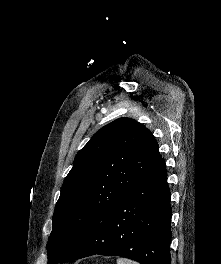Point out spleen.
<instances>
[{
  "instance_id": "1",
  "label": "spleen",
  "mask_w": 221,
  "mask_h": 264,
  "mask_svg": "<svg viewBox=\"0 0 221 264\" xmlns=\"http://www.w3.org/2000/svg\"><path fill=\"white\" fill-rule=\"evenodd\" d=\"M117 264H139V263L125 259V258H118Z\"/></svg>"
}]
</instances>
